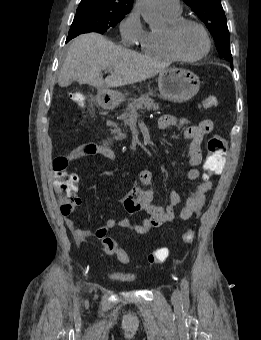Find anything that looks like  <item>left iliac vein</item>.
I'll return each mask as SVG.
<instances>
[{"label": "left iliac vein", "mask_w": 261, "mask_h": 340, "mask_svg": "<svg viewBox=\"0 0 261 340\" xmlns=\"http://www.w3.org/2000/svg\"><path fill=\"white\" fill-rule=\"evenodd\" d=\"M180 299H181L180 291L178 289L174 290L172 293V301L174 303H179Z\"/></svg>", "instance_id": "4c4485c4"}]
</instances>
